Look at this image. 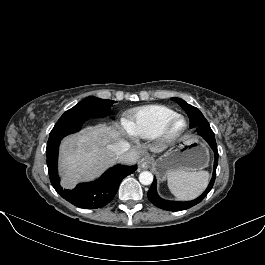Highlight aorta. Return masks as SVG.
<instances>
[{
	"label": "aorta",
	"instance_id": "762f6f07",
	"mask_svg": "<svg viewBox=\"0 0 265 265\" xmlns=\"http://www.w3.org/2000/svg\"><path fill=\"white\" fill-rule=\"evenodd\" d=\"M139 181L143 185H150L153 182V174L149 171H143L139 175Z\"/></svg>",
	"mask_w": 265,
	"mask_h": 265
}]
</instances>
